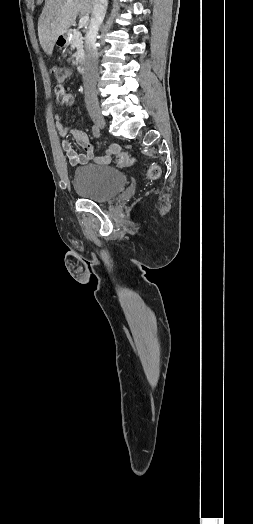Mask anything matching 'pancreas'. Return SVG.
I'll use <instances>...</instances> for the list:
<instances>
[{
	"label": "pancreas",
	"mask_w": 253,
	"mask_h": 524,
	"mask_svg": "<svg viewBox=\"0 0 253 524\" xmlns=\"http://www.w3.org/2000/svg\"><path fill=\"white\" fill-rule=\"evenodd\" d=\"M69 44L72 49H76L75 57L80 60L84 56L82 34L77 30L73 31L69 39Z\"/></svg>",
	"instance_id": "obj_1"
}]
</instances>
